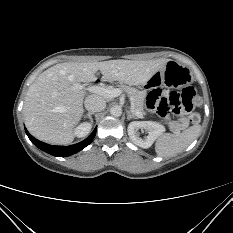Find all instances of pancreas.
<instances>
[{
    "instance_id": "1",
    "label": "pancreas",
    "mask_w": 233,
    "mask_h": 233,
    "mask_svg": "<svg viewBox=\"0 0 233 233\" xmlns=\"http://www.w3.org/2000/svg\"><path fill=\"white\" fill-rule=\"evenodd\" d=\"M119 88L122 91H125L130 97L133 110L141 112L142 116L146 115V112L144 111L145 93L125 85H120ZM187 124V121L182 120L181 122H172L171 126L175 130H182L187 127Z\"/></svg>"
}]
</instances>
